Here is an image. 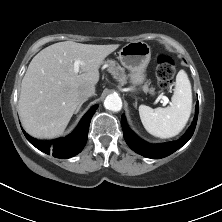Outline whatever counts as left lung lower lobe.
<instances>
[{
    "label": "left lung lower lobe",
    "instance_id": "1",
    "mask_svg": "<svg viewBox=\"0 0 222 222\" xmlns=\"http://www.w3.org/2000/svg\"><path fill=\"white\" fill-rule=\"evenodd\" d=\"M198 110H199V105L197 101L195 117H194L192 125L189 127L186 134L177 141H172V142L164 143V144H149L141 140L134 132H132L128 128L125 117L124 115H122L121 124H122L123 135H124L125 141L132 150H134L136 153L142 156L152 158V159L164 158L174 153L179 148H181L192 137L195 127H196V123H197Z\"/></svg>",
    "mask_w": 222,
    "mask_h": 222
}]
</instances>
